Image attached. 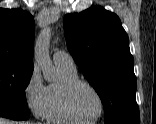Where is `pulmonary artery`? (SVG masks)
<instances>
[{"label":"pulmonary artery","instance_id":"e3ab8cb5","mask_svg":"<svg viewBox=\"0 0 156 124\" xmlns=\"http://www.w3.org/2000/svg\"><path fill=\"white\" fill-rule=\"evenodd\" d=\"M53 61L57 66L59 65L68 68H76L72 56L69 53L62 50H57L53 54Z\"/></svg>","mask_w":156,"mask_h":124}]
</instances>
